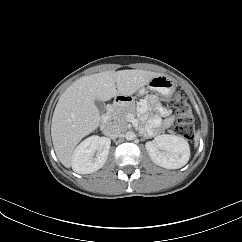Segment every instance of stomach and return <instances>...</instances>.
Masks as SVG:
<instances>
[{
	"instance_id": "1",
	"label": "stomach",
	"mask_w": 242,
	"mask_h": 242,
	"mask_svg": "<svg viewBox=\"0 0 242 242\" xmlns=\"http://www.w3.org/2000/svg\"><path fill=\"white\" fill-rule=\"evenodd\" d=\"M147 85L152 91L159 93L164 98H170L177 87L176 82L167 75H159L154 77ZM143 93L144 89L141 88L139 90V94L142 95ZM118 104L125 105L126 102L121 100L118 101Z\"/></svg>"
}]
</instances>
